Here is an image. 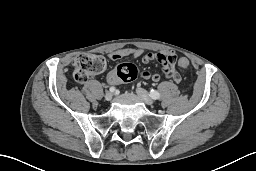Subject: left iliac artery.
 Here are the masks:
<instances>
[{"mask_svg":"<svg viewBox=\"0 0 256 171\" xmlns=\"http://www.w3.org/2000/svg\"><path fill=\"white\" fill-rule=\"evenodd\" d=\"M150 96L155 100L160 98L159 92L153 89L150 91Z\"/></svg>","mask_w":256,"mask_h":171,"instance_id":"obj_1","label":"left iliac artery"}]
</instances>
